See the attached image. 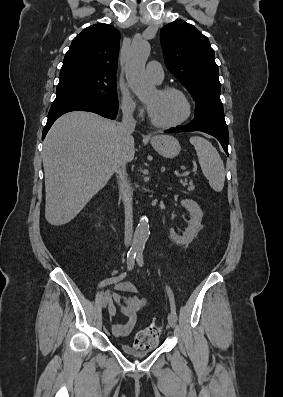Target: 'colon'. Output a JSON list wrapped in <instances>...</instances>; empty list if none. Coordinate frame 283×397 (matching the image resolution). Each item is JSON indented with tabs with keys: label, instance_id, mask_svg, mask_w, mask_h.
I'll return each mask as SVG.
<instances>
[{
	"label": "colon",
	"instance_id": "obj_1",
	"mask_svg": "<svg viewBox=\"0 0 283 397\" xmlns=\"http://www.w3.org/2000/svg\"><path fill=\"white\" fill-rule=\"evenodd\" d=\"M160 332L161 327L155 324L140 330L135 336V346L138 348L150 347L157 342Z\"/></svg>",
	"mask_w": 283,
	"mask_h": 397
}]
</instances>
